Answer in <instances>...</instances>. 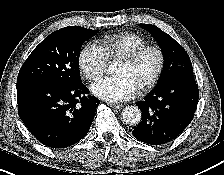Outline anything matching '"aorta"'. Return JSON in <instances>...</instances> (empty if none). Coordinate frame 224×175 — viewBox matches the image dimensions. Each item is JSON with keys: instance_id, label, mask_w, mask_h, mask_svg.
I'll use <instances>...</instances> for the list:
<instances>
[{"instance_id": "aorta-1", "label": "aorta", "mask_w": 224, "mask_h": 175, "mask_svg": "<svg viewBox=\"0 0 224 175\" xmlns=\"http://www.w3.org/2000/svg\"><path fill=\"white\" fill-rule=\"evenodd\" d=\"M122 120L127 125H136L141 121V111L137 106H127L122 111Z\"/></svg>"}]
</instances>
